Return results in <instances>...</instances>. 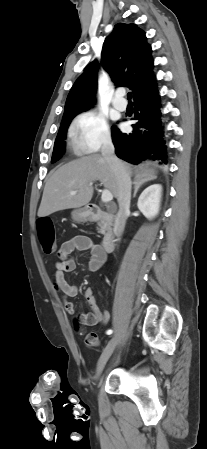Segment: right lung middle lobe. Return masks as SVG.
I'll return each mask as SVG.
<instances>
[{
    "label": "right lung middle lobe",
    "instance_id": "obj_1",
    "mask_svg": "<svg viewBox=\"0 0 207 449\" xmlns=\"http://www.w3.org/2000/svg\"><path fill=\"white\" fill-rule=\"evenodd\" d=\"M74 117L75 116L69 117L67 119L62 120V122H61V126L59 128V132L57 134L55 144H54V150H53L52 159H51L52 163L58 161L64 154V146H65L64 139L66 136V131H67V128H68L71 120Z\"/></svg>",
    "mask_w": 207,
    "mask_h": 449
}]
</instances>
